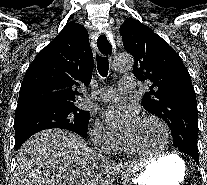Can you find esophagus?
I'll use <instances>...</instances> for the list:
<instances>
[{"mask_svg":"<svg viewBox=\"0 0 207 185\" xmlns=\"http://www.w3.org/2000/svg\"><path fill=\"white\" fill-rule=\"evenodd\" d=\"M109 37V33H96L94 37L95 51H98V47L113 48V43H109ZM103 55H111V50H103Z\"/></svg>","mask_w":207,"mask_h":185,"instance_id":"34e87169","label":"esophagus"}]
</instances>
